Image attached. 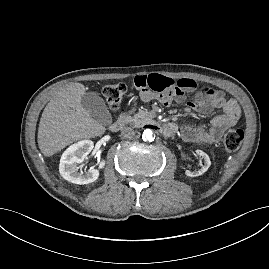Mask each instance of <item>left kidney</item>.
<instances>
[{"label":"left kidney","instance_id":"obj_1","mask_svg":"<svg viewBox=\"0 0 269 269\" xmlns=\"http://www.w3.org/2000/svg\"><path fill=\"white\" fill-rule=\"evenodd\" d=\"M196 154L198 156L202 157V159L204 160V165L201 164V168L198 171L186 170L185 175L188 177H196V176H200V175L204 174L211 165V160H210L209 156L204 151L196 150Z\"/></svg>","mask_w":269,"mask_h":269}]
</instances>
